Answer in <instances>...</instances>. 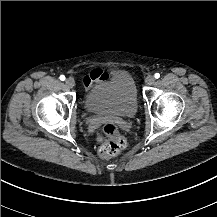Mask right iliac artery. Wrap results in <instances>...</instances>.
I'll return each instance as SVG.
<instances>
[{"label": "right iliac artery", "mask_w": 217, "mask_h": 217, "mask_svg": "<svg viewBox=\"0 0 217 217\" xmlns=\"http://www.w3.org/2000/svg\"><path fill=\"white\" fill-rule=\"evenodd\" d=\"M60 80H61V81H64V80H65V76H64V75H61V76H60Z\"/></svg>", "instance_id": "1"}]
</instances>
